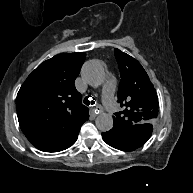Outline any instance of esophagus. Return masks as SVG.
<instances>
[{"mask_svg":"<svg viewBox=\"0 0 193 193\" xmlns=\"http://www.w3.org/2000/svg\"><path fill=\"white\" fill-rule=\"evenodd\" d=\"M103 112V108L102 106L98 105L95 109H94V114L98 115L100 113Z\"/></svg>","mask_w":193,"mask_h":193,"instance_id":"obj_1","label":"esophagus"}]
</instances>
